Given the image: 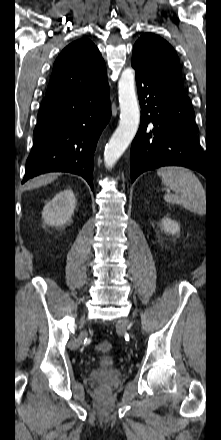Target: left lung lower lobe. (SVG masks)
Segmentation results:
<instances>
[{
  "label": "left lung lower lobe",
  "instance_id": "0a47b994",
  "mask_svg": "<svg viewBox=\"0 0 221 440\" xmlns=\"http://www.w3.org/2000/svg\"><path fill=\"white\" fill-rule=\"evenodd\" d=\"M132 66L141 122L131 145V182L145 171L169 165L197 170L207 177L194 110L184 89L153 75L134 58Z\"/></svg>",
  "mask_w": 221,
  "mask_h": 440
}]
</instances>
